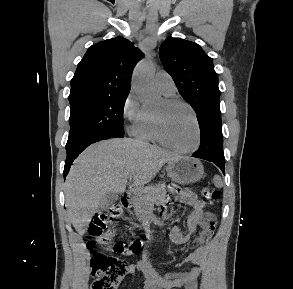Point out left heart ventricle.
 Instances as JSON below:
<instances>
[{
  "label": "left heart ventricle",
  "instance_id": "1",
  "mask_svg": "<svg viewBox=\"0 0 293 289\" xmlns=\"http://www.w3.org/2000/svg\"><path fill=\"white\" fill-rule=\"evenodd\" d=\"M153 114L160 120L164 137L178 148L191 147L196 139V127L191 112L185 106H169L164 101Z\"/></svg>",
  "mask_w": 293,
  "mask_h": 289
}]
</instances>
